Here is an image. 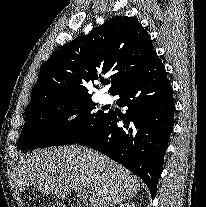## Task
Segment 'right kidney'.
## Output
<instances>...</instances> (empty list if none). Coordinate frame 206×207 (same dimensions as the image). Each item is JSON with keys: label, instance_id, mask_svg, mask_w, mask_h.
Masks as SVG:
<instances>
[{"label": "right kidney", "instance_id": "1", "mask_svg": "<svg viewBox=\"0 0 206 207\" xmlns=\"http://www.w3.org/2000/svg\"><path fill=\"white\" fill-rule=\"evenodd\" d=\"M119 207H135L134 203H124V204H120Z\"/></svg>", "mask_w": 206, "mask_h": 207}]
</instances>
